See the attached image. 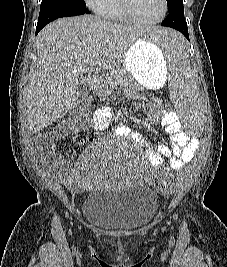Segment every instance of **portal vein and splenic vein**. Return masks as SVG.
Returning <instances> with one entry per match:
<instances>
[{
  "instance_id": "18ae733b",
  "label": "portal vein and splenic vein",
  "mask_w": 227,
  "mask_h": 267,
  "mask_svg": "<svg viewBox=\"0 0 227 267\" xmlns=\"http://www.w3.org/2000/svg\"><path fill=\"white\" fill-rule=\"evenodd\" d=\"M98 63H99L98 60H93V61H91V63H90L91 70H92V68H93L94 66H96Z\"/></svg>"
}]
</instances>
